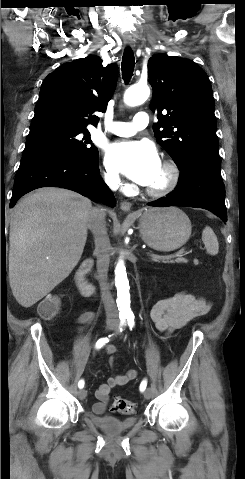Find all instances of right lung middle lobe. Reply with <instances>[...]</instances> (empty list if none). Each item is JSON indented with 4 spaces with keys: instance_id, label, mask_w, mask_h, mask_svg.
<instances>
[{
    "instance_id": "obj_1",
    "label": "right lung middle lobe",
    "mask_w": 245,
    "mask_h": 479,
    "mask_svg": "<svg viewBox=\"0 0 245 479\" xmlns=\"http://www.w3.org/2000/svg\"><path fill=\"white\" fill-rule=\"evenodd\" d=\"M53 152L70 154L94 164L98 163V150L92 145L87 129L58 124L30 128L22 160Z\"/></svg>"
}]
</instances>
